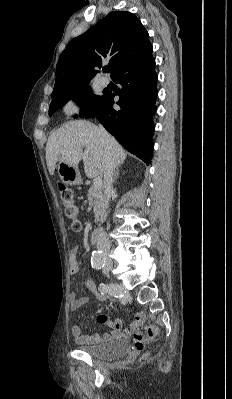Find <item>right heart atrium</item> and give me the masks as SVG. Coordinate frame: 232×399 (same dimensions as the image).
Segmentation results:
<instances>
[{
    "mask_svg": "<svg viewBox=\"0 0 232 399\" xmlns=\"http://www.w3.org/2000/svg\"><path fill=\"white\" fill-rule=\"evenodd\" d=\"M63 115L65 119L69 120H76L78 119L83 113V106L76 105V104H68L63 106L62 108Z\"/></svg>",
    "mask_w": 232,
    "mask_h": 399,
    "instance_id": "right-heart-atrium-1",
    "label": "right heart atrium"
}]
</instances>
